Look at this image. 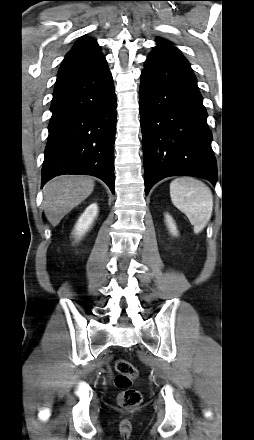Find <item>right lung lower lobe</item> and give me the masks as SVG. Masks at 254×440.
Masks as SVG:
<instances>
[{
	"label": "right lung lower lobe",
	"instance_id": "right-lung-lower-lobe-1",
	"mask_svg": "<svg viewBox=\"0 0 254 440\" xmlns=\"http://www.w3.org/2000/svg\"><path fill=\"white\" fill-rule=\"evenodd\" d=\"M50 110L42 187L58 175L84 174L114 194L116 95L106 61L57 79Z\"/></svg>",
	"mask_w": 254,
	"mask_h": 440
}]
</instances>
